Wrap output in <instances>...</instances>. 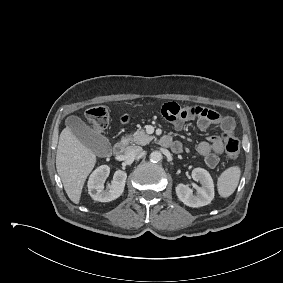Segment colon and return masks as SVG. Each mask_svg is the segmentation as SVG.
<instances>
[{
  "mask_svg": "<svg viewBox=\"0 0 283 283\" xmlns=\"http://www.w3.org/2000/svg\"><path fill=\"white\" fill-rule=\"evenodd\" d=\"M87 118L90 123L98 130H105L110 121V110L106 106H94L88 109ZM224 148L227 156L231 160L237 159L240 152V142L233 131L224 132L222 135Z\"/></svg>",
  "mask_w": 283,
  "mask_h": 283,
  "instance_id": "1",
  "label": "colon"
}]
</instances>
